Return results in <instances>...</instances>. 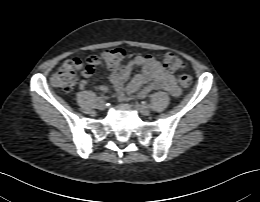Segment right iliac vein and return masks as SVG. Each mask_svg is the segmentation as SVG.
<instances>
[{
    "label": "right iliac vein",
    "mask_w": 260,
    "mask_h": 202,
    "mask_svg": "<svg viewBox=\"0 0 260 202\" xmlns=\"http://www.w3.org/2000/svg\"><path fill=\"white\" fill-rule=\"evenodd\" d=\"M98 108H99L100 110H104V109L106 108L105 102H104V101H100V102L98 103Z\"/></svg>",
    "instance_id": "obj_1"
}]
</instances>
